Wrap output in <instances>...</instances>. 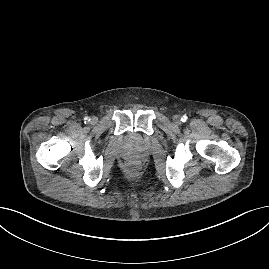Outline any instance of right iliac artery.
<instances>
[{
    "label": "right iliac artery",
    "mask_w": 269,
    "mask_h": 269,
    "mask_svg": "<svg viewBox=\"0 0 269 269\" xmlns=\"http://www.w3.org/2000/svg\"><path fill=\"white\" fill-rule=\"evenodd\" d=\"M89 121H90V118H89V117H85V118H84V122H85V123H88Z\"/></svg>",
    "instance_id": "1"
}]
</instances>
